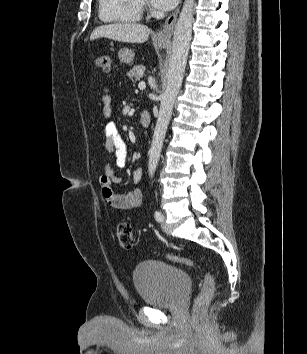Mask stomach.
Returning <instances> with one entry per match:
<instances>
[{
  "label": "stomach",
  "mask_w": 307,
  "mask_h": 354,
  "mask_svg": "<svg viewBox=\"0 0 307 354\" xmlns=\"http://www.w3.org/2000/svg\"><path fill=\"white\" fill-rule=\"evenodd\" d=\"M154 43L159 48H165L168 45L167 39H155ZM118 58L121 63L129 64L134 59V52L127 48H122L118 52Z\"/></svg>",
  "instance_id": "1"
}]
</instances>
